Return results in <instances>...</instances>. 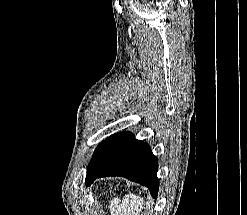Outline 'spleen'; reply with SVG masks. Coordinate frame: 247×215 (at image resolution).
Returning a JSON list of instances; mask_svg holds the SVG:
<instances>
[{
	"label": "spleen",
	"mask_w": 247,
	"mask_h": 215,
	"mask_svg": "<svg viewBox=\"0 0 247 215\" xmlns=\"http://www.w3.org/2000/svg\"><path fill=\"white\" fill-rule=\"evenodd\" d=\"M144 200L139 195L127 194L122 202L117 198L110 202L111 215H142Z\"/></svg>",
	"instance_id": "1"
}]
</instances>
